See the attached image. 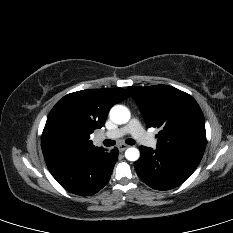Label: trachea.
I'll use <instances>...</instances> for the list:
<instances>
[{
	"label": "trachea",
	"instance_id": "1",
	"mask_svg": "<svg viewBox=\"0 0 233 233\" xmlns=\"http://www.w3.org/2000/svg\"><path fill=\"white\" fill-rule=\"evenodd\" d=\"M126 143L129 144V145H134L135 144V141L131 138L127 139L126 140ZM103 144L106 146V147H110V146H113L115 145V141L113 140H104L103 141Z\"/></svg>",
	"mask_w": 233,
	"mask_h": 233
}]
</instances>
